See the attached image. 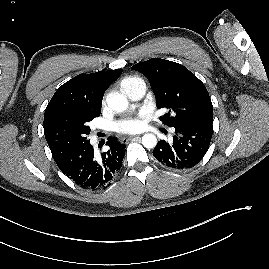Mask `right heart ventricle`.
Returning <instances> with one entry per match:
<instances>
[{
    "label": "right heart ventricle",
    "instance_id": "obj_1",
    "mask_svg": "<svg viewBox=\"0 0 269 269\" xmlns=\"http://www.w3.org/2000/svg\"><path fill=\"white\" fill-rule=\"evenodd\" d=\"M142 80L137 76H127L123 78L120 82V87L122 91L125 93L129 90L134 84L141 82Z\"/></svg>",
    "mask_w": 269,
    "mask_h": 269
}]
</instances>
